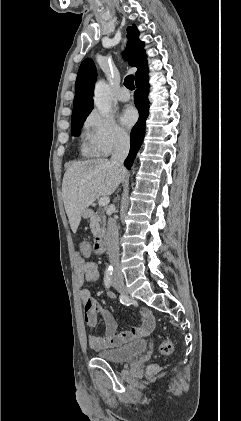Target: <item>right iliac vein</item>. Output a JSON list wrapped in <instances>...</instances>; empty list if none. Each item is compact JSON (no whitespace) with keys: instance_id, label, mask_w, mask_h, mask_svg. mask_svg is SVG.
I'll return each instance as SVG.
<instances>
[{"instance_id":"right-iliac-vein-1","label":"right iliac vein","mask_w":241,"mask_h":421,"mask_svg":"<svg viewBox=\"0 0 241 421\" xmlns=\"http://www.w3.org/2000/svg\"><path fill=\"white\" fill-rule=\"evenodd\" d=\"M112 285H113V286H114V288H115L117 291H119L120 293H122V294H127V293H128V292H127V288H126V286H125V284H124L123 280H121V279H116V280H113Z\"/></svg>"}]
</instances>
